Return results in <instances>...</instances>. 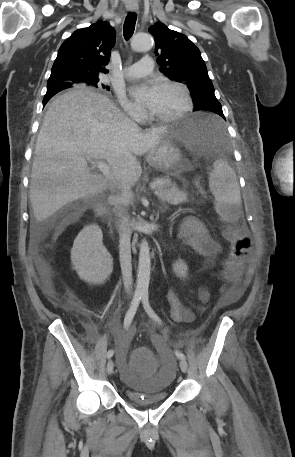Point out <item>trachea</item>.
I'll return each instance as SVG.
<instances>
[{
	"instance_id": "trachea-1",
	"label": "trachea",
	"mask_w": 295,
	"mask_h": 457,
	"mask_svg": "<svg viewBox=\"0 0 295 457\" xmlns=\"http://www.w3.org/2000/svg\"><path fill=\"white\" fill-rule=\"evenodd\" d=\"M137 15L134 12H129L126 20L124 22L123 30H124V38L125 40H129L135 30Z\"/></svg>"
}]
</instances>
